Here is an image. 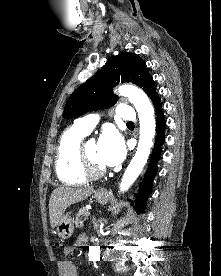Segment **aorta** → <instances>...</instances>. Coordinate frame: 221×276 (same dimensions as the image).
<instances>
[{
    "label": "aorta",
    "instance_id": "obj_1",
    "mask_svg": "<svg viewBox=\"0 0 221 276\" xmlns=\"http://www.w3.org/2000/svg\"><path fill=\"white\" fill-rule=\"evenodd\" d=\"M116 92L125 96L134 105L138 112L140 121V137L136 153L128 165L121 183L120 191L125 192L134 183L142 172L153 145L156 123L154 119V109L147 95L134 86H120ZM100 259V249L92 246L89 249V260L97 262Z\"/></svg>",
    "mask_w": 221,
    "mask_h": 276
}]
</instances>
